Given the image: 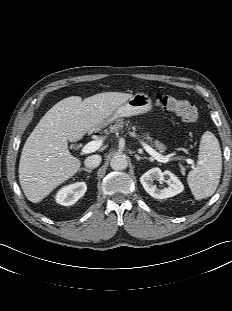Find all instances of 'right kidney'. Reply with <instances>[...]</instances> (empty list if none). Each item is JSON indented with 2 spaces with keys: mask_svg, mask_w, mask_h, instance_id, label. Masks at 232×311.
I'll list each match as a JSON object with an SVG mask.
<instances>
[{
  "mask_svg": "<svg viewBox=\"0 0 232 311\" xmlns=\"http://www.w3.org/2000/svg\"><path fill=\"white\" fill-rule=\"evenodd\" d=\"M85 182H77L61 188L56 196V202L63 206H71L76 203L86 192Z\"/></svg>",
  "mask_w": 232,
  "mask_h": 311,
  "instance_id": "1",
  "label": "right kidney"
}]
</instances>
